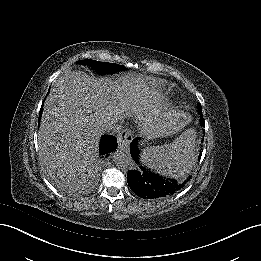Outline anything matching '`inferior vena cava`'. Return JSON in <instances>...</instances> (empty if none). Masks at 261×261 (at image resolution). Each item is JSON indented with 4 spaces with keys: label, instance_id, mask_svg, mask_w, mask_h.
Returning a JSON list of instances; mask_svg holds the SVG:
<instances>
[{
    "label": "inferior vena cava",
    "instance_id": "inferior-vena-cava-1",
    "mask_svg": "<svg viewBox=\"0 0 261 261\" xmlns=\"http://www.w3.org/2000/svg\"><path fill=\"white\" fill-rule=\"evenodd\" d=\"M122 127V124L118 120L113 119L105 124L104 130L108 134L115 135L121 132Z\"/></svg>",
    "mask_w": 261,
    "mask_h": 261
}]
</instances>
